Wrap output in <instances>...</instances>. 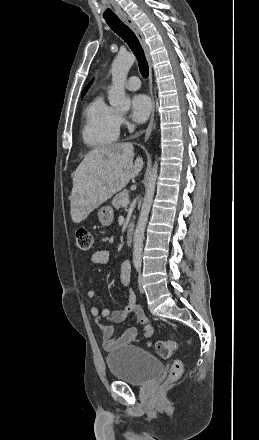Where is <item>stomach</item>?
<instances>
[{"label":"stomach","instance_id":"stomach-1","mask_svg":"<svg viewBox=\"0 0 259 440\" xmlns=\"http://www.w3.org/2000/svg\"><path fill=\"white\" fill-rule=\"evenodd\" d=\"M98 219L102 226H109L114 219L112 207L104 206L98 211Z\"/></svg>","mask_w":259,"mask_h":440}]
</instances>
